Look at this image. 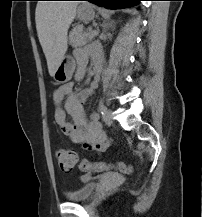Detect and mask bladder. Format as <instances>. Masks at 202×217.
Here are the masks:
<instances>
[{"label": "bladder", "instance_id": "bladder-1", "mask_svg": "<svg viewBox=\"0 0 202 217\" xmlns=\"http://www.w3.org/2000/svg\"><path fill=\"white\" fill-rule=\"evenodd\" d=\"M108 179H116L117 176L114 174H108L106 176ZM82 179H87V176H82ZM98 188L97 184L90 183V182H84V184L76 191L74 192H68L66 193V198L71 203H82L90 200L94 194L96 193Z\"/></svg>", "mask_w": 202, "mask_h": 217}]
</instances>
